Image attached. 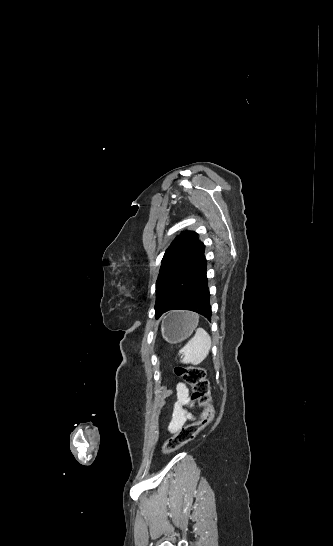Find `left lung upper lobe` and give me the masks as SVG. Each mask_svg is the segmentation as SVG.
Segmentation results:
<instances>
[{"label": "left lung upper lobe", "instance_id": "1", "mask_svg": "<svg viewBox=\"0 0 333 546\" xmlns=\"http://www.w3.org/2000/svg\"><path fill=\"white\" fill-rule=\"evenodd\" d=\"M203 247L204 244L198 239L197 233L187 231L176 237L166 250L156 281V317H159L167 291L174 279L200 255Z\"/></svg>", "mask_w": 333, "mask_h": 546}]
</instances>
